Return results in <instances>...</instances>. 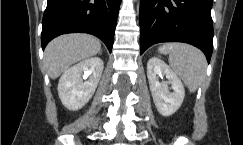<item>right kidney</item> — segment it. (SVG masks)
<instances>
[{
  "mask_svg": "<svg viewBox=\"0 0 243 145\" xmlns=\"http://www.w3.org/2000/svg\"><path fill=\"white\" fill-rule=\"evenodd\" d=\"M103 68L99 57H91L67 69L58 84L62 104L71 111L81 109L93 96Z\"/></svg>",
  "mask_w": 243,
  "mask_h": 145,
  "instance_id": "1",
  "label": "right kidney"
}]
</instances>
